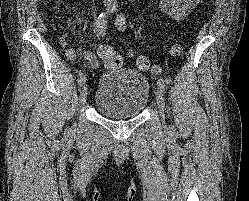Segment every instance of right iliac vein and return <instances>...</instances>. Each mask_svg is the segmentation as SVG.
<instances>
[{
	"instance_id": "right-iliac-vein-1",
	"label": "right iliac vein",
	"mask_w": 249,
	"mask_h": 201,
	"mask_svg": "<svg viewBox=\"0 0 249 201\" xmlns=\"http://www.w3.org/2000/svg\"><path fill=\"white\" fill-rule=\"evenodd\" d=\"M88 95V88L86 85H83L80 89V94H79V104L84 105L87 99Z\"/></svg>"
}]
</instances>
